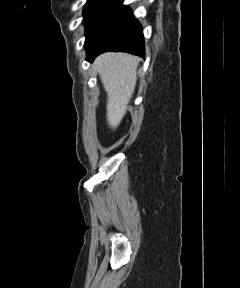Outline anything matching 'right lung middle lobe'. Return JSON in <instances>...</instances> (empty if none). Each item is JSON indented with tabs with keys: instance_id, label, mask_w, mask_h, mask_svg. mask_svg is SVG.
<instances>
[{
	"instance_id": "right-lung-middle-lobe-1",
	"label": "right lung middle lobe",
	"mask_w": 240,
	"mask_h": 288,
	"mask_svg": "<svg viewBox=\"0 0 240 288\" xmlns=\"http://www.w3.org/2000/svg\"><path fill=\"white\" fill-rule=\"evenodd\" d=\"M122 0H88L85 4L84 17L86 24L87 44L99 30L106 19L114 12Z\"/></svg>"
}]
</instances>
